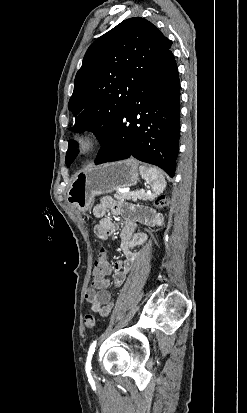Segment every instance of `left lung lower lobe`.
<instances>
[{"mask_svg": "<svg viewBox=\"0 0 247 413\" xmlns=\"http://www.w3.org/2000/svg\"><path fill=\"white\" fill-rule=\"evenodd\" d=\"M180 82L171 50L139 85L98 152L95 164L134 157L175 176Z\"/></svg>", "mask_w": 247, "mask_h": 413, "instance_id": "1", "label": "left lung lower lobe"}]
</instances>
